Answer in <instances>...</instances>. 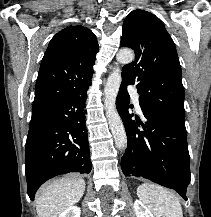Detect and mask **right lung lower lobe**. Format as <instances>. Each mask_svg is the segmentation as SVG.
<instances>
[{
  "instance_id": "right-lung-lower-lobe-1",
  "label": "right lung lower lobe",
  "mask_w": 211,
  "mask_h": 217,
  "mask_svg": "<svg viewBox=\"0 0 211 217\" xmlns=\"http://www.w3.org/2000/svg\"><path fill=\"white\" fill-rule=\"evenodd\" d=\"M87 88L57 104L32 112L25 146L28 195L50 178L69 172L90 173L92 163L85 99Z\"/></svg>"
}]
</instances>
